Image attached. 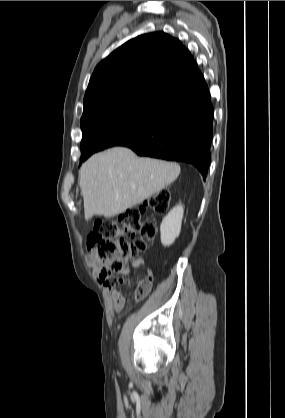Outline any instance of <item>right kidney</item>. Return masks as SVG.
I'll use <instances>...</instances> for the list:
<instances>
[{"mask_svg":"<svg viewBox=\"0 0 285 418\" xmlns=\"http://www.w3.org/2000/svg\"><path fill=\"white\" fill-rule=\"evenodd\" d=\"M184 214V208L181 205L174 207L162 220L160 225L161 243L164 246H170L179 236Z\"/></svg>","mask_w":285,"mask_h":418,"instance_id":"ca27d5eb","label":"right kidney"}]
</instances>
